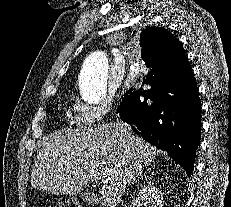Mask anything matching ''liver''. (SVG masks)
Returning <instances> with one entry per match:
<instances>
[{"mask_svg": "<svg viewBox=\"0 0 231 207\" xmlns=\"http://www.w3.org/2000/svg\"><path fill=\"white\" fill-rule=\"evenodd\" d=\"M159 152L118 122L56 132L41 143L31 185L55 195H75L98 180L102 206L118 207L127 187Z\"/></svg>", "mask_w": 231, "mask_h": 207, "instance_id": "obj_1", "label": "liver"}]
</instances>
